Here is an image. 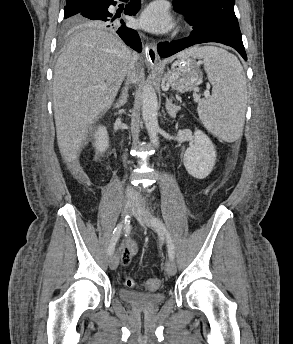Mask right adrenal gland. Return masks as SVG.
<instances>
[{
  "instance_id": "2a0ac1e0",
  "label": "right adrenal gland",
  "mask_w": 293,
  "mask_h": 344,
  "mask_svg": "<svg viewBox=\"0 0 293 344\" xmlns=\"http://www.w3.org/2000/svg\"><path fill=\"white\" fill-rule=\"evenodd\" d=\"M128 91L127 88H124L121 97L116 102L115 107L120 108L121 106L125 105L127 102Z\"/></svg>"
}]
</instances>
